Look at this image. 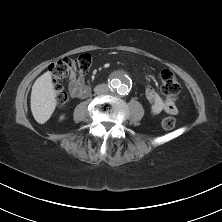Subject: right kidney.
Here are the masks:
<instances>
[{"label":"right kidney","mask_w":222,"mask_h":222,"mask_svg":"<svg viewBox=\"0 0 222 222\" xmlns=\"http://www.w3.org/2000/svg\"><path fill=\"white\" fill-rule=\"evenodd\" d=\"M64 119V115L60 116V120Z\"/></svg>","instance_id":"right-kidney-1"}]
</instances>
